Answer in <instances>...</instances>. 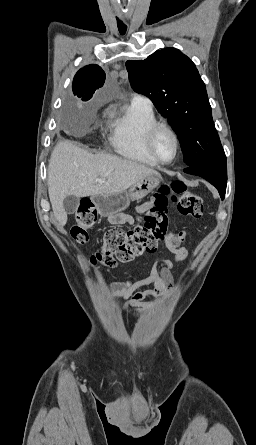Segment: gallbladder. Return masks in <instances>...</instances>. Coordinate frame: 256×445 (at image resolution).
Segmentation results:
<instances>
[{"mask_svg":"<svg viewBox=\"0 0 256 445\" xmlns=\"http://www.w3.org/2000/svg\"><path fill=\"white\" fill-rule=\"evenodd\" d=\"M79 206V198L74 195H69L63 200V208L67 214H73L76 212Z\"/></svg>","mask_w":256,"mask_h":445,"instance_id":"bac80fb5","label":"gallbladder"}]
</instances>
